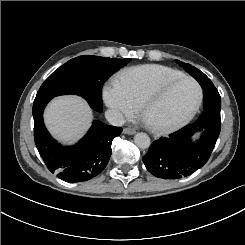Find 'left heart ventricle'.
I'll list each match as a JSON object with an SVG mask.
<instances>
[{"mask_svg": "<svg viewBox=\"0 0 245 245\" xmlns=\"http://www.w3.org/2000/svg\"><path fill=\"white\" fill-rule=\"evenodd\" d=\"M195 99L196 89L188 81L164 86L150 97L148 118L153 122L179 119L191 109Z\"/></svg>", "mask_w": 245, "mask_h": 245, "instance_id": "b2bd125f", "label": "left heart ventricle"}]
</instances>
